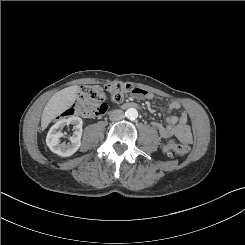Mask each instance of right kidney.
<instances>
[{
    "label": "right kidney",
    "instance_id": "1",
    "mask_svg": "<svg viewBox=\"0 0 245 245\" xmlns=\"http://www.w3.org/2000/svg\"><path fill=\"white\" fill-rule=\"evenodd\" d=\"M74 125V132L69 138L70 143L64 144L60 143V138L64 136L61 132L65 125ZM82 125L83 121L79 117H69L68 119H62L55 123L49 130L46 137V144L49 149L61 156L69 157L72 156L81 146V136H82Z\"/></svg>",
    "mask_w": 245,
    "mask_h": 245
}]
</instances>
